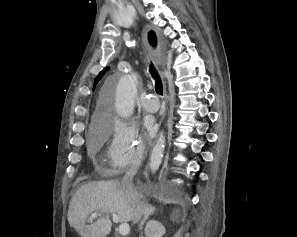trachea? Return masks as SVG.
I'll return each mask as SVG.
<instances>
[{
    "mask_svg": "<svg viewBox=\"0 0 297 237\" xmlns=\"http://www.w3.org/2000/svg\"><path fill=\"white\" fill-rule=\"evenodd\" d=\"M150 73L155 80V90L158 94L162 95L163 94V86H162V81L159 77V74L153 64L150 65Z\"/></svg>",
    "mask_w": 297,
    "mask_h": 237,
    "instance_id": "trachea-1",
    "label": "trachea"
}]
</instances>
